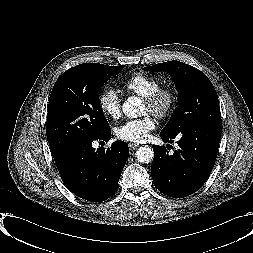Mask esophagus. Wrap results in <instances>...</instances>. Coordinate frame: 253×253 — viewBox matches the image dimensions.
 Returning a JSON list of instances; mask_svg holds the SVG:
<instances>
[{"label":"esophagus","mask_w":253,"mask_h":253,"mask_svg":"<svg viewBox=\"0 0 253 253\" xmlns=\"http://www.w3.org/2000/svg\"><path fill=\"white\" fill-rule=\"evenodd\" d=\"M128 146L131 151H134L139 147L138 144H134V143H129Z\"/></svg>","instance_id":"34e87169"}]
</instances>
